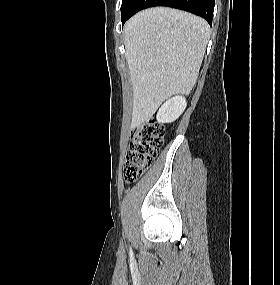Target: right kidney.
Wrapping results in <instances>:
<instances>
[{
	"instance_id": "ca27d5eb",
	"label": "right kidney",
	"mask_w": 280,
	"mask_h": 285,
	"mask_svg": "<svg viewBox=\"0 0 280 285\" xmlns=\"http://www.w3.org/2000/svg\"><path fill=\"white\" fill-rule=\"evenodd\" d=\"M187 106L186 99L182 96H175L166 101L157 113L158 122L171 123L179 118Z\"/></svg>"
}]
</instances>
